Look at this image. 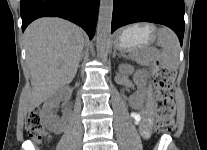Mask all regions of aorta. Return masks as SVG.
Returning <instances> with one entry per match:
<instances>
[{
	"label": "aorta",
	"mask_w": 207,
	"mask_h": 150,
	"mask_svg": "<svg viewBox=\"0 0 207 150\" xmlns=\"http://www.w3.org/2000/svg\"><path fill=\"white\" fill-rule=\"evenodd\" d=\"M113 4V0H100L97 26V52L100 57L107 55L110 46Z\"/></svg>",
	"instance_id": "762f6f07"
}]
</instances>
